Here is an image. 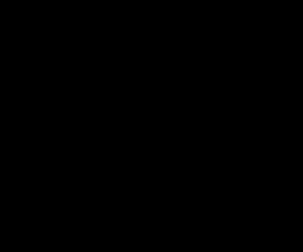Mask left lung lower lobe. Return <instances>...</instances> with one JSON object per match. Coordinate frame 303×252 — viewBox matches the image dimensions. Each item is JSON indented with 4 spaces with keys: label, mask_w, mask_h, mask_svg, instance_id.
Listing matches in <instances>:
<instances>
[{
    "label": "left lung lower lobe",
    "mask_w": 303,
    "mask_h": 252,
    "mask_svg": "<svg viewBox=\"0 0 303 252\" xmlns=\"http://www.w3.org/2000/svg\"><path fill=\"white\" fill-rule=\"evenodd\" d=\"M207 150L210 152L211 157L215 161V166L220 172L224 164V154L226 153L227 148L223 147L217 143H208L206 145Z\"/></svg>",
    "instance_id": "left-lung-lower-lobe-1"
}]
</instances>
